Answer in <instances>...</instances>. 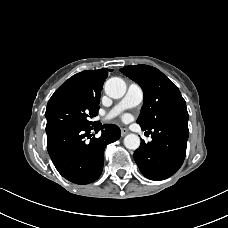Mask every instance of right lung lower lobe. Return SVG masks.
<instances>
[{
    "mask_svg": "<svg viewBox=\"0 0 228 228\" xmlns=\"http://www.w3.org/2000/svg\"><path fill=\"white\" fill-rule=\"evenodd\" d=\"M93 128L102 129L101 137L91 138ZM119 138L120 129L114 124L67 126L47 134V149L64 178L76 184H88L102 173L105 147Z\"/></svg>",
    "mask_w": 228,
    "mask_h": 228,
    "instance_id": "obj_1",
    "label": "right lung lower lobe"
}]
</instances>
